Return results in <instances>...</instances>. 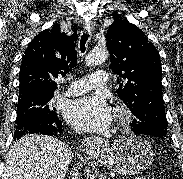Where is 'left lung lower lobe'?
I'll list each match as a JSON object with an SVG mask.
<instances>
[{"instance_id": "obj_1", "label": "left lung lower lobe", "mask_w": 183, "mask_h": 179, "mask_svg": "<svg viewBox=\"0 0 183 179\" xmlns=\"http://www.w3.org/2000/svg\"><path fill=\"white\" fill-rule=\"evenodd\" d=\"M160 138H162V137H160ZM163 138L166 139V141H169L170 140L168 137H163Z\"/></svg>"}]
</instances>
